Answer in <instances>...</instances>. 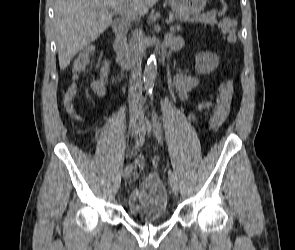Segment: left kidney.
<instances>
[{
  "mask_svg": "<svg viewBox=\"0 0 295 250\" xmlns=\"http://www.w3.org/2000/svg\"><path fill=\"white\" fill-rule=\"evenodd\" d=\"M195 69L198 73H210L218 67L219 60L216 54L202 52L196 55Z\"/></svg>",
  "mask_w": 295,
  "mask_h": 250,
  "instance_id": "5707ae66",
  "label": "left kidney"
}]
</instances>
